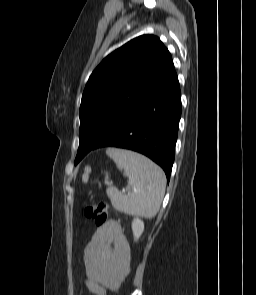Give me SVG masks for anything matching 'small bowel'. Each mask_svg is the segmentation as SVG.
Here are the masks:
<instances>
[{
    "instance_id": "small-bowel-1",
    "label": "small bowel",
    "mask_w": 256,
    "mask_h": 295,
    "mask_svg": "<svg viewBox=\"0 0 256 295\" xmlns=\"http://www.w3.org/2000/svg\"><path fill=\"white\" fill-rule=\"evenodd\" d=\"M130 247L121 224L110 219L92 234L83 251L84 283L94 295L116 290L130 270Z\"/></svg>"
}]
</instances>
